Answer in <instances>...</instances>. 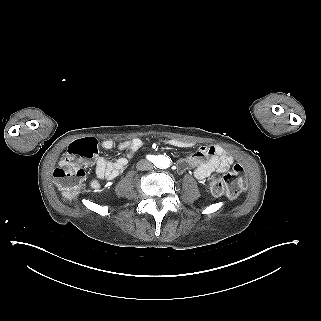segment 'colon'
Returning a JSON list of instances; mask_svg holds the SVG:
<instances>
[{"label":"colon","mask_w":321,"mask_h":321,"mask_svg":"<svg viewBox=\"0 0 321 321\" xmlns=\"http://www.w3.org/2000/svg\"><path fill=\"white\" fill-rule=\"evenodd\" d=\"M97 156V142L92 138L73 142L61 155L58 167L53 172V178L67 199L73 200L85 185L86 172L77 161L92 160ZM245 186L246 175L240 164H235L225 175L213 176L209 183L213 194L229 198H236Z\"/></svg>","instance_id":"colon-1"}]
</instances>
